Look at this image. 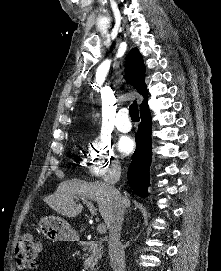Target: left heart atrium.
I'll return each mask as SVG.
<instances>
[{"label": "left heart atrium", "mask_w": 221, "mask_h": 271, "mask_svg": "<svg viewBox=\"0 0 221 271\" xmlns=\"http://www.w3.org/2000/svg\"><path fill=\"white\" fill-rule=\"evenodd\" d=\"M174 93V92H171ZM118 148L123 153H131L134 148V140L131 136H122L118 142Z\"/></svg>", "instance_id": "left-heart-atrium-1"}]
</instances>
